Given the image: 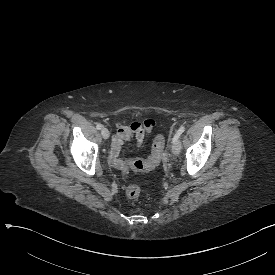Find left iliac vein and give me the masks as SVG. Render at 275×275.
Here are the masks:
<instances>
[{"label": "left iliac vein", "mask_w": 275, "mask_h": 275, "mask_svg": "<svg viewBox=\"0 0 275 275\" xmlns=\"http://www.w3.org/2000/svg\"><path fill=\"white\" fill-rule=\"evenodd\" d=\"M181 151V146L179 143V140H175L174 142H172V152L174 155H179Z\"/></svg>", "instance_id": "4c4485c4"}]
</instances>
